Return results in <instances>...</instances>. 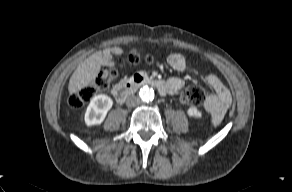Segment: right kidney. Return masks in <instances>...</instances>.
<instances>
[{
	"instance_id": "right-kidney-1",
	"label": "right kidney",
	"mask_w": 292,
	"mask_h": 192,
	"mask_svg": "<svg viewBox=\"0 0 292 192\" xmlns=\"http://www.w3.org/2000/svg\"><path fill=\"white\" fill-rule=\"evenodd\" d=\"M113 104L112 99L104 94H100L92 98L85 112V123L87 126L101 124L107 112Z\"/></svg>"
}]
</instances>
